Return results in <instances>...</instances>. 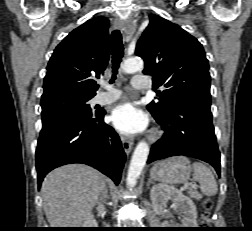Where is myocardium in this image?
Listing matches in <instances>:
<instances>
[{"instance_id": "f54148a6", "label": "myocardium", "mask_w": 252, "mask_h": 231, "mask_svg": "<svg viewBox=\"0 0 252 231\" xmlns=\"http://www.w3.org/2000/svg\"><path fill=\"white\" fill-rule=\"evenodd\" d=\"M157 137V135L156 134H154L153 136H152V138L154 139V138H156Z\"/></svg>"}]
</instances>
